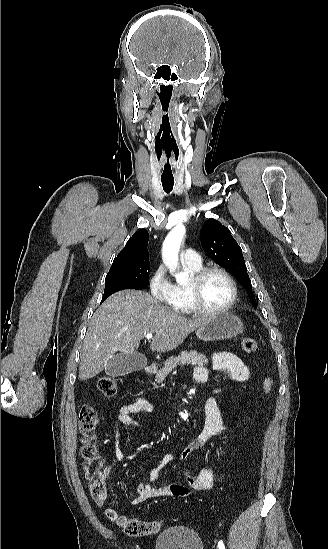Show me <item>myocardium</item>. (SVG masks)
<instances>
[{"label": "myocardium", "mask_w": 328, "mask_h": 549, "mask_svg": "<svg viewBox=\"0 0 328 549\" xmlns=\"http://www.w3.org/2000/svg\"><path fill=\"white\" fill-rule=\"evenodd\" d=\"M212 271H218L224 274L229 280L232 287V295L230 300L226 305L218 309H207V308L201 307V305L204 303L199 296L200 283L206 277V275ZM186 291H187L189 300L191 302V304L188 305V308L195 315L200 317L221 316L228 313L235 306L238 299V293H239L236 279L234 278L232 273L228 270V268L220 263H207V264H204L199 270L193 272L190 275V279L188 283L186 284Z\"/></svg>", "instance_id": "obj_1"}]
</instances>
